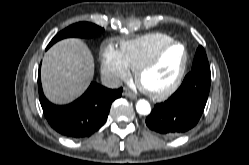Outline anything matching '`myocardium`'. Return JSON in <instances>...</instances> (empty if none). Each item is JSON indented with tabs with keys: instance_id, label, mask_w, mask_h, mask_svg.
<instances>
[{
	"instance_id": "myocardium-1",
	"label": "myocardium",
	"mask_w": 249,
	"mask_h": 165,
	"mask_svg": "<svg viewBox=\"0 0 249 165\" xmlns=\"http://www.w3.org/2000/svg\"><path fill=\"white\" fill-rule=\"evenodd\" d=\"M174 46L182 47L184 50V56H183L182 63L180 65V67L178 68L176 75H175L174 79L172 80V82L168 86L161 88V89H151V88L145 87L141 82V79H142V76L144 75V73L147 72L148 70H150L155 65H157L160 62V60L162 59V57L166 54V52ZM188 61H189V52H188L187 46L180 41H172V42L168 43L167 45L163 46L152 57L143 61L135 69L136 83L149 96L156 98V99L165 98V97L171 95L181 84V81H182V79L185 75L186 69H187Z\"/></svg>"
}]
</instances>
